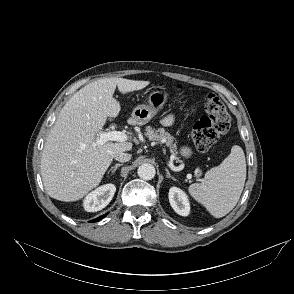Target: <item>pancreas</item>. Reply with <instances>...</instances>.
Masks as SVG:
<instances>
[{
	"instance_id": "1",
	"label": "pancreas",
	"mask_w": 294,
	"mask_h": 294,
	"mask_svg": "<svg viewBox=\"0 0 294 294\" xmlns=\"http://www.w3.org/2000/svg\"><path fill=\"white\" fill-rule=\"evenodd\" d=\"M145 131V135L150 141H154L156 143H165L167 146H169L171 152H176L177 146L176 143H174V138L168 132H166L164 128H159L156 130L151 126H147Z\"/></svg>"
}]
</instances>
